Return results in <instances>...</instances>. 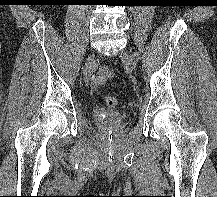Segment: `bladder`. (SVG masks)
<instances>
[{
	"label": "bladder",
	"mask_w": 217,
	"mask_h": 197,
	"mask_svg": "<svg viewBox=\"0 0 217 197\" xmlns=\"http://www.w3.org/2000/svg\"><path fill=\"white\" fill-rule=\"evenodd\" d=\"M94 118L105 128H119L123 125L124 121L120 112L105 108L95 109Z\"/></svg>",
	"instance_id": "obj_1"
}]
</instances>
